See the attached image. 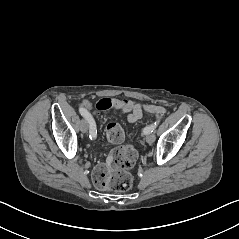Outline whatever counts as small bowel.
Listing matches in <instances>:
<instances>
[{
	"label": "small bowel",
	"instance_id": "1",
	"mask_svg": "<svg viewBox=\"0 0 239 239\" xmlns=\"http://www.w3.org/2000/svg\"><path fill=\"white\" fill-rule=\"evenodd\" d=\"M113 100L115 103L114 108H116L117 110L125 114L129 122H136L143 118L144 114L140 104L134 101L117 100V99H113ZM83 105L86 108H90V104L87 101H84Z\"/></svg>",
	"mask_w": 239,
	"mask_h": 239
}]
</instances>
